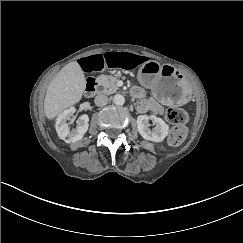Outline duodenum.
Segmentation results:
<instances>
[{
  "mask_svg": "<svg viewBox=\"0 0 243 243\" xmlns=\"http://www.w3.org/2000/svg\"><path fill=\"white\" fill-rule=\"evenodd\" d=\"M97 88V81L94 78H89L85 87L86 96H92Z\"/></svg>",
  "mask_w": 243,
  "mask_h": 243,
  "instance_id": "duodenum-1",
  "label": "duodenum"
}]
</instances>
